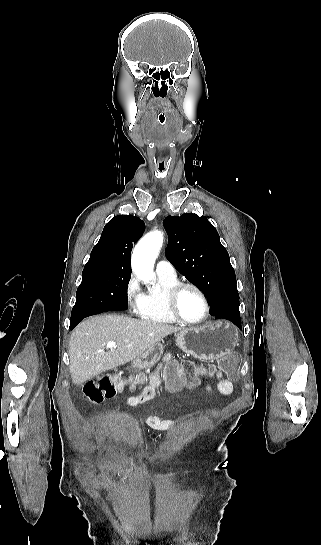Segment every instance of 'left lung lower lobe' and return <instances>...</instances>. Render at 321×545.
I'll use <instances>...</instances> for the list:
<instances>
[{
    "label": "left lung lower lobe",
    "instance_id": "0a47b994",
    "mask_svg": "<svg viewBox=\"0 0 321 545\" xmlns=\"http://www.w3.org/2000/svg\"><path fill=\"white\" fill-rule=\"evenodd\" d=\"M210 314L216 319H227L233 322L239 329H242L239 312V301H232L217 309L211 310Z\"/></svg>",
    "mask_w": 321,
    "mask_h": 545
}]
</instances>
